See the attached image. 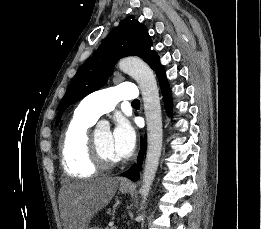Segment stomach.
<instances>
[{"label":"stomach","instance_id":"stomach-1","mask_svg":"<svg viewBox=\"0 0 261 229\" xmlns=\"http://www.w3.org/2000/svg\"><path fill=\"white\" fill-rule=\"evenodd\" d=\"M119 191H121V193H128V187H119ZM92 229H94V227H92Z\"/></svg>","mask_w":261,"mask_h":229}]
</instances>
